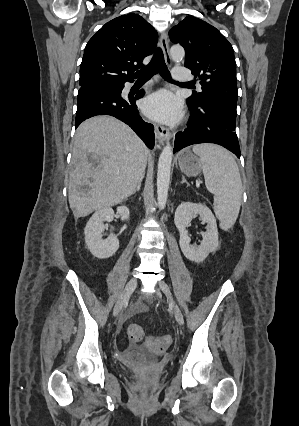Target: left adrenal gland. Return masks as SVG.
I'll return each mask as SVG.
<instances>
[{
  "label": "left adrenal gland",
  "instance_id": "obj_1",
  "mask_svg": "<svg viewBox=\"0 0 299 426\" xmlns=\"http://www.w3.org/2000/svg\"><path fill=\"white\" fill-rule=\"evenodd\" d=\"M183 183H186V184H187V186H189V183L186 181V179H185V177H184V176H182V181H181V184H183Z\"/></svg>",
  "mask_w": 299,
  "mask_h": 426
}]
</instances>
